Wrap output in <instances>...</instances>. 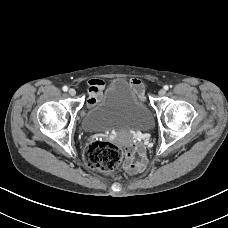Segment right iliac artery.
<instances>
[{"label": "right iliac artery", "mask_w": 228, "mask_h": 228, "mask_svg": "<svg viewBox=\"0 0 228 228\" xmlns=\"http://www.w3.org/2000/svg\"><path fill=\"white\" fill-rule=\"evenodd\" d=\"M62 89H63V91H65V92L68 91V87H67V86H63Z\"/></svg>", "instance_id": "right-iliac-artery-1"}]
</instances>
